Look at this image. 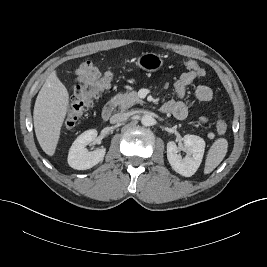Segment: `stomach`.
<instances>
[{
	"instance_id": "1",
	"label": "stomach",
	"mask_w": 267,
	"mask_h": 267,
	"mask_svg": "<svg viewBox=\"0 0 267 267\" xmlns=\"http://www.w3.org/2000/svg\"><path fill=\"white\" fill-rule=\"evenodd\" d=\"M136 65L147 72H155L163 66V58L160 54L146 52L136 59Z\"/></svg>"
}]
</instances>
